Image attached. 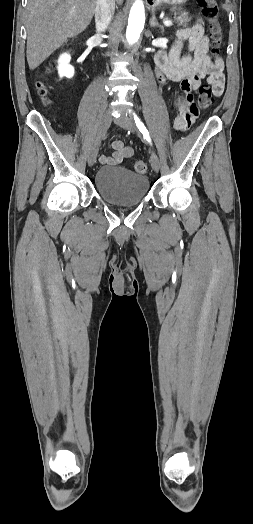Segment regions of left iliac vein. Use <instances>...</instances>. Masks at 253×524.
I'll return each mask as SVG.
<instances>
[{"mask_svg": "<svg viewBox=\"0 0 253 524\" xmlns=\"http://www.w3.org/2000/svg\"><path fill=\"white\" fill-rule=\"evenodd\" d=\"M114 122L117 125H119L120 127H122L123 129H126V130L131 131V132H135L136 131L135 123H134L133 119L130 116L122 115L119 118H115ZM150 163H151L152 168L156 172H158L159 169H160V160H159V158H158V156H157V154L155 152L151 153Z\"/></svg>", "mask_w": 253, "mask_h": 524, "instance_id": "4c4485c4", "label": "left iliac vein"}]
</instances>
